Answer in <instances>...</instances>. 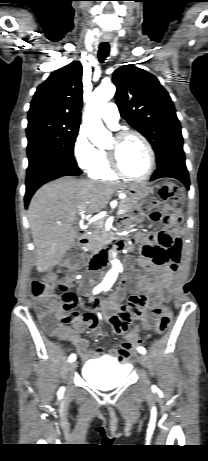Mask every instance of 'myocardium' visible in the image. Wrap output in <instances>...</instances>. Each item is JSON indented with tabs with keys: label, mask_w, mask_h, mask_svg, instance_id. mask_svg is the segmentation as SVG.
I'll return each instance as SVG.
<instances>
[{
	"label": "myocardium",
	"mask_w": 208,
	"mask_h": 461,
	"mask_svg": "<svg viewBox=\"0 0 208 461\" xmlns=\"http://www.w3.org/2000/svg\"><path fill=\"white\" fill-rule=\"evenodd\" d=\"M129 137H137L145 146L147 149L148 155H149V167L147 172L139 177L136 176H131L127 174L122 167L119 164L118 161V156H117V148L114 149H107L106 154L108 157V162L111 170L120 177H123L128 180H133V181H145L151 177V175L154 172L155 169V164H156V159H155V152L153 150V147L149 140L140 132L135 131V130H124L119 132L115 137L116 143L119 145L121 142L126 140Z\"/></svg>",
	"instance_id": "myocardium-1"
}]
</instances>
